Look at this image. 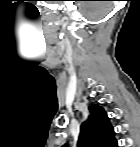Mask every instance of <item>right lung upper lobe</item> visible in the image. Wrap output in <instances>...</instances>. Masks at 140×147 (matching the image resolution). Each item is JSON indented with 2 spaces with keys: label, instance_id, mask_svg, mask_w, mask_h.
Returning <instances> with one entry per match:
<instances>
[{
  "label": "right lung upper lobe",
  "instance_id": "obj_1",
  "mask_svg": "<svg viewBox=\"0 0 140 147\" xmlns=\"http://www.w3.org/2000/svg\"><path fill=\"white\" fill-rule=\"evenodd\" d=\"M88 119L80 128L78 147H117L114 129L105 110L98 104L89 106Z\"/></svg>",
  "mask_w": 140,
  "mask_h": 147
}]
</instances>
